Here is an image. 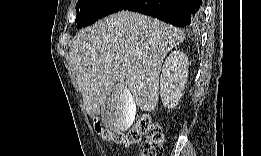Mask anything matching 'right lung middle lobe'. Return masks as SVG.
I'll use <instances>...</instances> for the list:
<instances>
[{
  "label": "right lung middle lobe",
  "mask_w": 261,
  "mask_h": 156,
  "mask_svg": "<svg viewBox=\"0 0 261 156\" xmlns=\"http://www.w3.org/2000/svg\"><path fill=\"white\" fill-rule=\"evenodd\" d=\"M125 0H78L75 22L78 28L87 27L99 18L114 12Z\"/></svg>",
  "instance_id": "obj_1"
}]
</instances>
